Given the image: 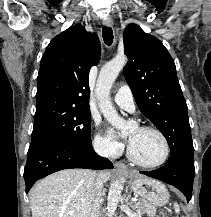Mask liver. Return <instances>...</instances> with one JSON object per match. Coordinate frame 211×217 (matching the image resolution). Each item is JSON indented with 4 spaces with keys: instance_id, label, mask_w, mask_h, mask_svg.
Listing matches in <instances>:
<instances>
[{
    "instance_id": "liver-1",
    "label": "liver",
    "mask_w": 211,
    "mask_h": 217,
    "mask_svg": "<svg viewBox=\"0 0 211 217\" xmlns=\"http://www.w3.org/2000/svg\"><path fill=\"white\" fill-rule=\"evenodd\" d=\"M107 182L109 171L98 174ZM97 173L66 169L53 173L30 191L32 217H90L92 193Z\"/></svg>"
}]
</instances>
